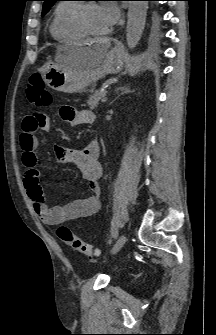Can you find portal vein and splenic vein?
Masks as SVG:
<instances>
[{
    "label": "portal vein and splenic vein",
    "mask_w": 216,
    "mask_h": 335,
    "mask_svg": "<svg viewBox=\"0 0 216 335\" xmlns=\"http://www.w3.org/2000/svg\"><path fill=\"white\" fill-rule=\"evenodd\" d=\"M106 101H107V97L104 96V97L102 98L101 102H102V103H105Z\"/></svg>",
    "instance_id": "portal-vein-and-splenic-vein-1"
}]
</instances>
